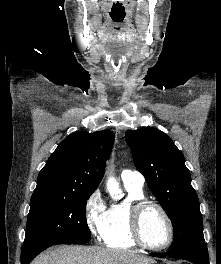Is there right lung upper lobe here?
<instances>
[{
	"mask_svg": "<svg viewBox=\"0 0 221 264\" xmlns=\"http://www.w3.org/2000/svg\"><path fill=\"white\" fill-rule=\"evenodd\" d=\"M113 144L114 133L109 130L70 134L40 171L34 192H94Z\"/></svg>",
	"mask_w": 221,
	"mask_h": 264,
	"instance_id": "obj_1",
	"label": "right lung upper lobe"
}]
</instances>
